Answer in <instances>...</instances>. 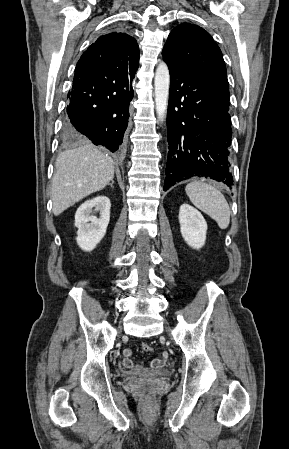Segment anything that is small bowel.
Listing matches in <instances>:
<instances>
[{
  "mask_svg": "<svg viewBox=\"0 0 289 449\" xmlns=\"http://www.w3.org/2000/svg\"><path fill=\"white\" fill-rule=\"evenodd\" d=\"M131 350L130 349H125L123 352V361H122V365L126 368V369H141L143 368V364L142 363H136L133 361V359L131 358ZM170 356L166 351H163L161 353V357L160 358H156L153 359L150 363V367L153 369H165L167 367V361H169Z\"/></svg>",
  "mask_w": 289,
  "mask_h": 449,
  "instance_id": "1",
  "label": "small bowel"
}]
</instances>
